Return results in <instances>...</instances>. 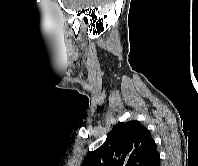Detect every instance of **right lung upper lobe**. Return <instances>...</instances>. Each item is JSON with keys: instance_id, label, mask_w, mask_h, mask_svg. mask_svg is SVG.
Here are the masks:
<instances>
[{"instance_id": "cb5924a9", "label": "right lung upper lobe", "mask_w": 198, "mask_h": 166, "mask_svg": "<svg viewBox=\"0 0 198 166\" xmlns=\"http://www.w3.org/2000/svg\"><path fill=\"white\" fill-rule=\"evenodd\" d=\"M158 154L149 131L138 121L119 123L82 166H147Z\"/></svg>"}]
</instances>
